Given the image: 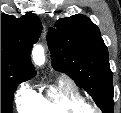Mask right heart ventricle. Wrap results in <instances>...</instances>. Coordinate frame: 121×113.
I'll list each match as a JSON object with an SVG mask.
<instances>
[{
	"instance_id": "e07e8e85",
	"label": "right heart ventricle",
	"mask_w": 121,
	"mask_h": 113,
	"mask_svg": "<svg viewBox=\"0 0 121 113\" xmlns=\"http://www.w3.org/2000/svg\"><path fill=\"white\" fill-rule=\"evenodd\" d=\"M86 108V100L64 82L54 84L45 93L30 90L18 101L21 113H60L61 110Z\"/></svg>"
}]
</instances>
